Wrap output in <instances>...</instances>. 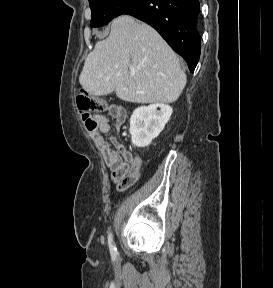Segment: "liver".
Here are the masks:
<instances>
[{
  "label": "liver",
  "instance_id": "obj_1",
  "mask_svg": "<svg viewBox=\"0 0 273 288\" xmlns=\"http://www.w3.org/2000/svg\"><path fill=\"white\" fill-rule=\"evenodd\" d=\"M79 82L95 96L115 90L127 102L173 103L186 85V75L155 29L122 15L113 20L108 38L87 56Z\"/></svg>",
  "mask_w": 273,
  "mask_h": 288
}]
</instances>
